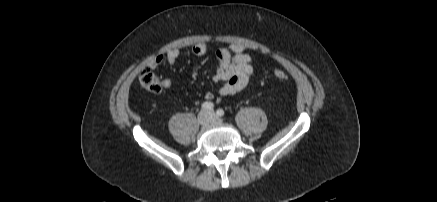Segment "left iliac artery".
Returning a JSON list of instances; mask_svg holds the SVG:
<instances>
[{"label": "left iliac artery", "mask_w": 437, "mask_h": 202, "mask_svg": "<svg viewBox=\"0 0 437 202\" xmlns=\"http://www.w3.org/2000/svg\"><path fill=\"white\" fill-rule=\"evenodd\" d=\"M216 114H217L219 117H222V116L224 115V110H223V109H218V110L216 111Z\"/></svg>", "instance_id": "44dca946"}]
</instances>
